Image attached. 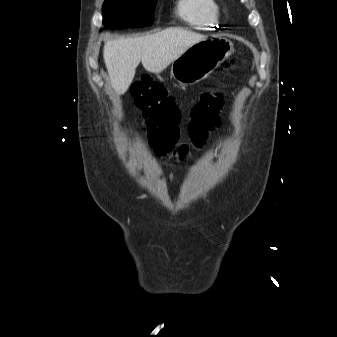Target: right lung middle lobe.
I'll list each match as a JSON object with an SVG mask.
<instances>
[{
  "mask_svg": "<svg viewBox=\"0 0 337 337\" xmlns=\"http://www.w3.org/2000/svg\"><path fill=\"white\" fill-rule=\"evenodd\" d=\"M157 0H105L104 29L150 26ZM102 30V29H101Z\"/></svg>",
  "mask_w": 337,
  "mask_h": 337,
  "instance_id": "dd1d6c3e",
  "label": "right lung middle lobe"
}]
</instances>
